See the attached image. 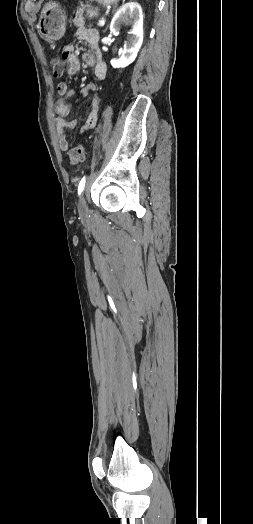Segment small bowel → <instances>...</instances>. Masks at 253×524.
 <instances>
[{"label": "small bowel", "instance_id": "small-bowel-1", "mask_svg": "<svg viewBox=\"0 0 253 524\" xmlns=\"http://www.w3.org/2000/svg\"><path fill=\"white\" fill-rule=\"evenodd\" d=\"M77 32L76 37L80 41L86 42L90 48L91 52L83 53V61L91 66L94 70V76L96 80H103L107 75V65L103 59L102 53L99 49V33L93 28L86 27L82 21H76ZM62 60L66 64L64 71L66 74L71 75L75 74L80 69V61L74 52L73 46H66L62 55ZM58 92L60 94L66 95L67 97H88L94 91V84L89 83L79 91L69 90L67 85L69 80L67 77L62 76L58 80ZM100 107L99 99L96 95H92L89 100V112L85 121V124L81 128V133L85 132L88 129H93L96 127L98 122V110ZM56 112H57V122H56V132L59 141V147L62 151H67L69 148L68 141L65 135V129H73L76 126V120L69 117L70 107L68 102L65 99H60L56 103Z\"/></svg>", "mask_w": 253, "mask_h": 524}]
</instances>
